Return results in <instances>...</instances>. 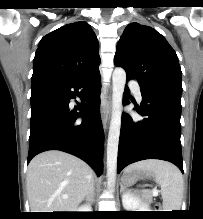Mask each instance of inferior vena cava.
Returning a JSON list of instances; mask_svg holds the SVG:
<instances>
[{"instance_id":"1","label":"inferior vena cava","mask_w":203,"mask_h":219,"mask_svg":"<svg viewBox=\"0 0 203 219\" xmlns=\"http://www.w3.org/2000/svg\"><path fill=\"white\" fill-rule=\"evenodd\" d=\"M93 189H94V188H93V184H91L87 196H91V193L93 192Z\"/></svg>"}]
</instances>
